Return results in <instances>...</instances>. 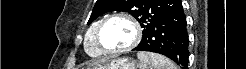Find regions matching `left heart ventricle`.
I'll list each match as a JSON object with an SVG mask.
<instances>
[{
  "label": "left heart ventricle",
  "instance_id": "left-heart-ventricle-1",
  "mask_svg": "<svg viewBox=\"0 0 246 69\" xmlns=\"http://www.w3.org/2000/svg\"><path fill=\"white\" fill-rule=\"evenodd\" d=\"M103 45L111 49L127 46L134 38V31L129 22L123 19H113L108 22L100 34Z\"/></svg>",
  "mask_w": 246,
  "mask_h": 69
}]
</instances>
